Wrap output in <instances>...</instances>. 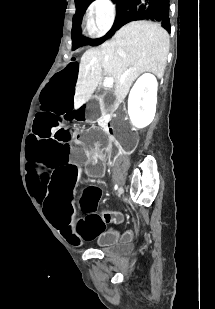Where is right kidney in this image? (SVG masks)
I'll list each match as a JSON object with an SVG mask.
<instances>
[{
    "mask_svg": "<svg viewBox=\"0 0 215 309\" xmlns=\"http://www.w3.org/2000/svg\"><path fill=\"white\" fill-rule=\"evenodd\" d=\"M158 82L154 74H142L132 86L129 94V104L131 100V110H134L136 116L130 118L137 128H143L152 122L156 112Z\"/></svg>",
    "mask_w": 215,
    "mask_h": 309,
    "instance_id": "ca27d5eb",
    "label": "right kidney"
}]
</instances>
